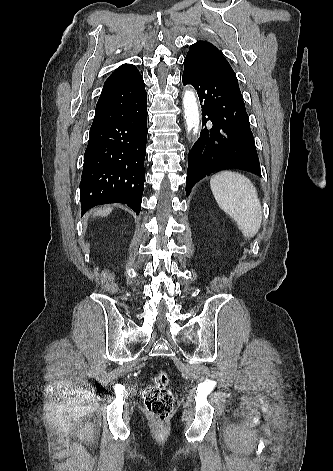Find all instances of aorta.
<instances>
[{"label": "aorta", "instance_id": "obj_1", "mask_svg": "<svg viewBox=\"0 0 333 471\" xmlns=\"http://www.w3.org/2000/svg\"><path fill=\"white\" fill-rule=\"evenodd\" d=\"M184 118L186 121L187 131L198 133L200 116L198 104L193 91L186 89L183 96Z\"/></svg>", "mask_w": 333, "mask_h": 471}]
</instances>
